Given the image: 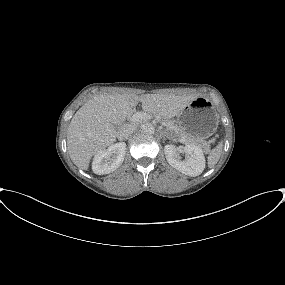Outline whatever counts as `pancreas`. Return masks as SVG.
I'll return each mask as SVG.
<instances>
[{
  "instance_id": "1",
  "label": "pancreas",
  "mask_w": 285,
  "mask_h": 285,
  "mask_svg": "<svg viewBox=\"0 0 285 285\" xmlns=\"http://www.w3.org/2000/svg\"><path fill=\"white\" fill-rule=\"evenodd\" d=\"M163 124L166 126V130L168 131V133H170V134L175 133V134H177L178 137L182 136L185 142L198 145V146L202 147L206 153L209 152L210 145L206 141H204L203 139H196L194 137H190V136L186 135L185 133H183L181 131V129L179 128L178 124H176L175 121L164 120Z\"/></svg>"
}]
</instances>
